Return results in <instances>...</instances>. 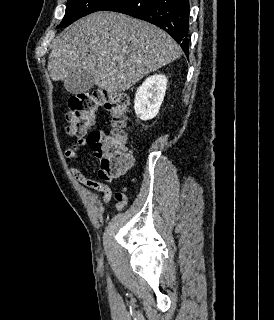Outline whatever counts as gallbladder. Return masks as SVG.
<instances>
[{
  "instance_id": "1",
  "label": "gallbladder",
  "mask_w": 274,
  "mask_h": 320,
  "mask_svg": "<svg viewBox=\"0 0 274 320\" xmlns=\"http://www.w3.org/2000/svg\"><path fill=\"white\" fill-rule=\"evenodd\" d=\"M68 95H83L84 92L91 90L95 86V82L86 68H71L67 72V78L64 79Z\"/></svg>"
}]
</instances>
